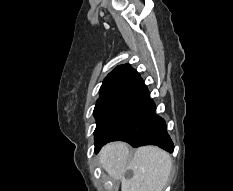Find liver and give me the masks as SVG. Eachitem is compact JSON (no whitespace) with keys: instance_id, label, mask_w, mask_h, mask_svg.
I'll return each instance as SVG.
<instances>
[{"instance_id":"obj_1","label":"liver","mask_w":233,"mask_h":191,"mask_svg":"<svg viewBox=\"0 0 233 191\" xmlns=\"http://www.w3.org/2000/svg\"><path fill=\"white\" fill-rule=\"evenodd\" d=\"M100 165L116 180H121V191H163L172 169L171 156L156 146L138 148L133 156L125 142H111L100 153ZM133 171L130 179L124 178Z\"/></svg>"}]
</instances>
